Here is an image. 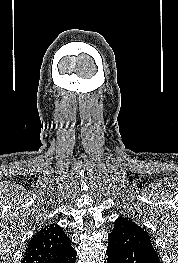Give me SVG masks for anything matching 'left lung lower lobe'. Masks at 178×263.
<instances>
[{
    "instance_id": "left-lung-lower-lobe-1",
    "label": "left lung lower lobe",
    "mask_w": 178,
    "mask_h": 263,
    "mask_svg": "<svg viewBox=\"0 0 178 263\" xmlns=\"http://www.w3.org/2000/svg\"><path fill=\"white\" fill-rule=\"evenodd\" d=\"M108 240L107 263H160L148 233L130 219L118 218Z\"/></svg>"
}]
</instances>
